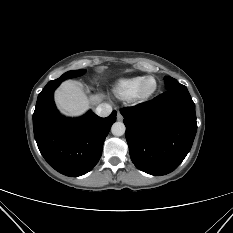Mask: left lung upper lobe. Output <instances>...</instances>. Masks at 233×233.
Masks as SVG:
<instances>
[{
	"label": "left lung upper lobe",
	"instance_id": "obj_1",
	"mask_svg": "<svg viewBox=\"0 0 233 233\" xmlns=\"http://www.w3.org/2000/svg\"><path fill=\"white\" fill-rule=\"evenodd\" d=\"M164 82L166 90L177 89L184 86L180 84L176 79L169 76L164 77Z\"/></svg>",
	"mask_w": 233,
	"mask_h": 233
}]
</instances>
